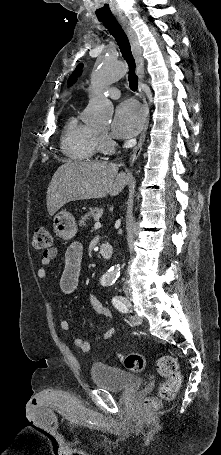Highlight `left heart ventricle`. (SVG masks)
<instances>
[{
  "label": "left heart ventricle",
  "instance_id": "obj_1",
  "mask_svg": "<svg viewBox=\"0 0 221 455\" xmlns=\"http://www.w3.org/2000/svg\"><path fill=\"white\" fill-rule=\"evenodd\" d=\"M106 129H107L106 127L100 128V130H102V131H104V130H106Z\"/></svg>",
  "mask_w": 221,
  "mask_h": 455
}]
</instances>
